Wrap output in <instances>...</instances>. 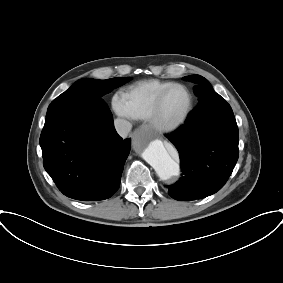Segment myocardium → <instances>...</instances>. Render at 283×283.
<instances>
[{
    "label": "myocardium",
    "mask_w": 283,
    "mask_h": 283,
    "mask_svg": "<svg viewBox=\"0 0 283 283\" xmlns=\"http://www.w3.org/2000/svg\"><path fill=\"white\" fill-rule=\"evenodd\" d=\"M181 88L184 89L188 96H189V103L187 106V109L185 110L184 114L176 121L171 123L163 122L160 113H161V107L162 103L167 96V94L172 91L173 89ZM194 109V95L192 91L184 84L180 83H173L172 85L165 88L157 97L151 115L149 117V123L152 126L154 130H156L159 133L163 134H170L177 130H179L189 119L190 115L192 114Z\"/></svg>",
    "instance_id": "f54148a6"
}]
</instances>
